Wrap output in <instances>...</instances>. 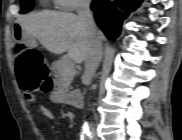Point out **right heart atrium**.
Instances as JSON below:
<instances>
[{
  "label": "right heart atrium",
  "instance_id": "1",
  "mask_svg": "<svg viewBox=\"0 0 182 140\" xmlns=\"http://www.w3.org/2000/svg\"><path fill=\"white\" fill-rule=\"evenodd\" d=\"M60 8L65 11H82L89 6L88 0H60Z\"/></svg>",
  "mask_w": 182,
  "mask_h": 140
}]
</instances>
